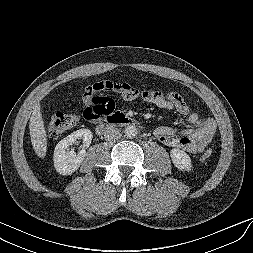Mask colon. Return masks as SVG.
<instances>
[{
	"label": "colon",
	"instance_id": "obj_1",
	"mask_svg": "<svg viewBox=\"0 0 253 253\" xmlns=\"http://www.w3.org/2000/svg\"><path fill=\"white\" fill-rule=\"evenodd\" d=\"M103 115H111L110 109H107L103 105H96L92 108V111H87L84 113V118L86 119H98ZM76 123V118L74 115L64 113V112H55L51 115L48 121V133L52 137H58L64 132L70 130L74 127ZM213 155L212 150H207L201 157L202 162L208 161Z\"/></svg>",
	"mask_w": 253,
	"mask_h": 253
}]
</instances>
